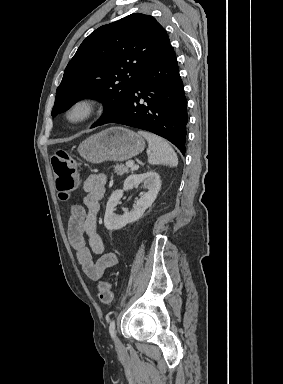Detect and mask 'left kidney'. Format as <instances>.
I'll return each instance as SVG.
<instances>
[{
	"mask_svg": "<svg viewBox=\"0 0 283 384\" xmlns=\"http://www.w3.org/2000/svg\"><path fill=\"white\" fill-rule=\"evenodd\" d=\"M139 184H143V188H147L148 192H145V194L141 196L140 200H137L134 210H131V212H125L123 216H117V214H114L116 206L119 204V200H121L123 196V192L133 190V188H137ZM160 188V176L159 174H156V172H153V170H151V172H146V174H132V176H128L124 182L123 190H115L107 202L104 216L105 228H107V230H111L112 232V230H120V228H124L126 224L137 222L139 218H142L145 210L152 206Z\"/></svg>",
	"mask_w": 283,
	"mask_h": 384,
	"instance_id": "obj_1",
	"label": "left kidney"
}]
</instances>
